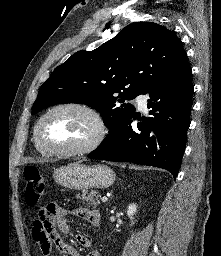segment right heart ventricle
Here are the masks:
<instances>
[{
    "label": "right heart ventricle",
    "instance_id": "1",
    "mask_svg": "<svg viewBox=\"0 0 221 256\" xmlns=\"http://www.w3.org/2000/svg\"><path fill=\"white\" fill-rule=\"evenodd\" d=\"M35 146H36L37 150H38L41 154H43V155H48V153H46V152H44L43 150H41V149L37 146L36 143H35Z\"/></svg>",
    "mask_w": 221,
    "mask_h": 256
}]
</instances>
